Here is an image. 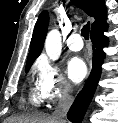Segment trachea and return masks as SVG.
<instances>
[{"instance_id": "trachea-1", "label": "trachea", "mask_w": 118, "mask_h": 123, "mask_svg": "<svg viewBox=\"0 0 118 123\" xmlns=\"http://www.w3.org/2000/svg\"><path fill=\"white\" fill-rule=\"evenodd\" d=\"M89 31H90V24L87 23L81 29V35L84 37L85 40H89Z\"/></svg>"}]
</instances>
